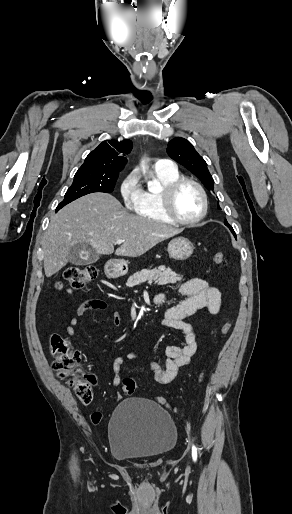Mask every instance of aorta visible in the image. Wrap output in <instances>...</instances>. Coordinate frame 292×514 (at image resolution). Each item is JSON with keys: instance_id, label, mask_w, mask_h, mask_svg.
Instances as JSON below:
<instances>
[{"instance_id": "aorta-1", "label": "aorta", "mask_w": 292, "mask_h": 514, "mask_svg": "<svg viewBox=\"0 0 292 514\" xmlns=\"http://www.w3.org/2000/svg\"><path fill=\"white\" fill-rule=\"evenodd\" d=\"M153 182H150L149 186H152Z\"/></svg>"}]
</instances>
